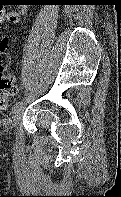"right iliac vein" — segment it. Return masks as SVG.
Returning <instances> with one entry per match:
<instances>
[{
    "label": "right iliac vein",
    "mask_w": 121,
    "mask_h": 197,
    "mask_svg": "<svg viewBox=\"0 0 121 197\" xmlns=\"http://www.w3.org/2000/svg\"><path fill=\"white\" fill-rule=\"evenodd\" d=\"M22 116V108H19L10 120L11 128H16Z\"/></svg>",
    "instance_id": "obj_1"
}]
</instances>
